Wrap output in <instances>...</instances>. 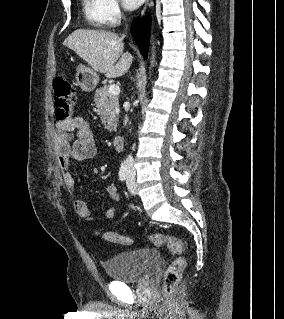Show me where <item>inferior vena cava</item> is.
Segmentation results:
<instances>
[{
    "instance_id": "1",
    "label": "inferior vena cava",
    "mask_w": 284,
    "mask_h": 319,
    "mask_svg": "<svg viewBox=\"0 0 284 319\" xmlns=\"http://www.w3.org/2000/svg\"><path fill=\"white\" fill-rule=\"evenodd\" d=\"M133 157L131 155L128 156V158L126 159V166L128 169H133Z\"/></svg>"
}]
</instances>
